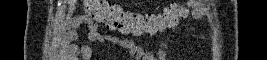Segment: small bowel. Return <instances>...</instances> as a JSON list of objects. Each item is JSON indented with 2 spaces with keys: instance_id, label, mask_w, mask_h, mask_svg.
<instances>
[{
  "instance_id": "1",
  "label": "small bowel",
  "mask_w": 267,
  "mask_h": 60,
  "mask_svg": "<svg viewBox=\"0 0 267 60\" xmlns=\"http://www.w3.org/2000/svg\"><path fill=\"white\" fill-rule=\"evenodd\" d=\"M191 13L193 18H200L204 14V8L202 3L190 2L188 7H180L181 17H186ZM176 25V24H175ZM82 29L83 34L92 42H110L113 44L121 45L130 54L143 60H163L165 59V43L159 42L155 51H149L145 49L139 42V40H119L110 35L100 32L97 24L94 20L87 15H80L68 20L66 24V31L64 34L65 46L83 57H88L92 53L90 46L82 44L76 46L73 44L79 37V29Z\"/></svg>"
}]
</instances>
